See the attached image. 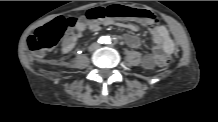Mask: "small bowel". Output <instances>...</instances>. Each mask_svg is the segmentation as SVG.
<instances>
[{
  "label": "small bowel",
  "mask_w": 218,
  "mask_h": 122,
  "mask_svg": "<svg viewBox=\"0 0 218 122\" xmlns=\"http://www.w3.org/2000/svg\"><path fill=\"white\" fill-rule=\"evenodd\" d=\"M130 8V7H126ZM133 9V8H130ZM119 19L108 18L105 19L102 23L93 22L87 16L80 17L75 26L67 33L65 38L61 43V50L63 53H69L74 49L78 40L81 38L84 31L89 30L96 32L101 28L102 24L109 25L114 24L118 27L128 29L130 31H138V26L134 20L144 21L142 19L133 18V17H118ZM153 42L155 46L153 52L146 54L142 63L143 66L147 69H151L157 65V61L161 57H166L171 54L174 50V43L169 36L168 30L164 26H157L153 28L152 31ZM124 42L131 48H138L141 45L140 39L134 34H125L123 36Z\"/></svg>",
  "instance_id": "small-bowel-1"
}]
</instances>
